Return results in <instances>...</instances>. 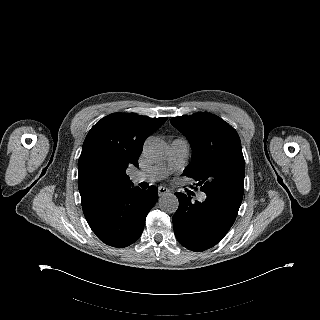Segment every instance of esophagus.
<instances>
[{
	"mask_svg": "<svg viewBox=\"0 0 320 320\" xmlns=\"http://www.w3.org/2000/svg\"><path fill=\"white\" fill-rule=\"evenodd\" d=\"M169 192H170V190L166 187H163V186L158 187V195L159 196H162V195L167 194Z\"/></svg>",
	"mask_w": 320,
	"mask_h": 320,
	"instance_id": "obj_1",
	"label": "esophagus"
}]
</instances>
